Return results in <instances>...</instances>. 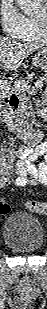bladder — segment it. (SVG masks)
Here are the masks:
<instances>
[{"label":"bladder","instance_id":"bladder-1","mask_svg":"<svg viewBox=\"0 0 47 309\" xmlns=\"http://www.w3.org/2000/svg\"><path fill=\"white\" fill-rule=\"evenodd\" d=\"M44 229L40 221L25 212H16L8 216L3 227L5 246L20 254H33L44 245Z\"/></svg>","mask_w":47,"mask_h":309}]
</instances>
